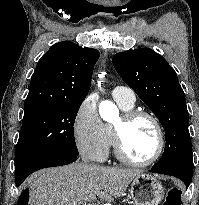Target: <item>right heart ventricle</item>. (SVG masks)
Returning a JSON list of instances; mask_svg holds the SVG:
<instances>
[{"mask_svg":"<svg viewBox=\"0 0 199 205\" xmlns=\"http://www.w3.org/2000/svg\"><path fill=\"white\" fill-rule=\"evenodd\" d=\"M118 103V105L120 106V108L123 110V111H129V110H133V107H134V104H127V103H124V102H121V101H116ZM107 130H108V133L110 135V138H111V143H112V131H111V127L110 126H106Z\"/></svg>","mask_w":199,"mask_h":205,"instance_id":"obj_1","label":"right heart ventricle"}]
</instances>
